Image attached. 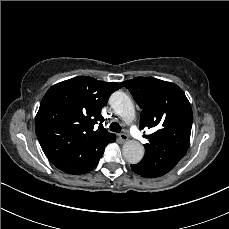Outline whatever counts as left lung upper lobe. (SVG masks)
<instances>
[{"label": "left lung upper lobe", "mask_w": 229, "mask_h": 229, "mask_svg": "<svg viewBox=\"0 0 229 229\" xmlns=\"http://www.w3.org/2000/svg\"><path fill=\"white\" fill-rule=\"evenodd\" d=\"M142 109L140 129L155 128L144 135L145 155L139 163L160 177L185 155L190 141L193 114L183 90L174 83L136 77L121 83Z\"/></svg>", "instance_id": "5c2ea615"}]
</instances>
